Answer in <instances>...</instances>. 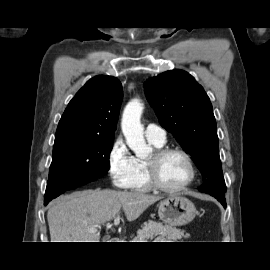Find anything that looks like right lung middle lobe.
<instances>
[{
    "label": "right lung middle lobe",
    "mask_w": 270,
    "mask_h": 270,
    "mask_svg": "<svg viewBox=\"0 0 270 270\" xmlns=\"http://www.w3.org/2000/svg\"><path fill=\"white\" fill-rule=\"evenodd\" d=\"M113 142L98 136L56 135L45 197L56 198L103 176L110 167Z\"/></svg>",
    "instance_id": "right-lung-middle-lobe-1"
}]
</instances>
